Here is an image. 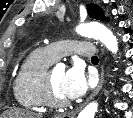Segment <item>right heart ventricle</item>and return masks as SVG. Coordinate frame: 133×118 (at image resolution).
Masks as SVG:
<instances>
[{
	"mask_svg": "<svg viewBox=\"0 0 133 118\" xmlns=\"http://www.w3.org/2000/svg\"><path fill=\"white\" fill-rule=\"evenodd\" d=\"M52 62L43 49L34 50L24 60L13 83V95L18 105L27 110L44 107L42 81Z\"/></svg>",
	"mask_w": 133,
	"mask_h": 118,
	"instance_id": "right-heart-ventricle-1",
	"label": "right heart ventricle"
}]
</instances>
